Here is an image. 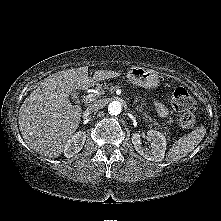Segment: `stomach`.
Returning <instances> with one entry per match:
<instances>
[{"mask_svg":"<svg viewBox=\"0 0 221 221\" xmlns=\"http://www.w3.org/2000/svg\"><path fill=\"white\" fill-rule=\"evenodd\" d=\"M129 82L143 88H154L159 84V75L150 69L133 66L127 73Z\"/></svg>","mask_w":221,"mask_h":221,"instance_id":"obj_1","label":"stomach"}]
</instances>
